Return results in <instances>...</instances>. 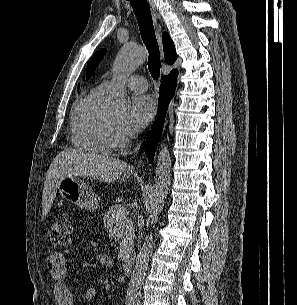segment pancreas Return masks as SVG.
Segmentation results:
<instances>
[{
    "label": "pancreas",
    "instance_id": "cf45deb5",
    "mask_svg": "<svg viewBox=\"0 0 297 305\" xmlns=\"http://www.w3.org/2000/svg\"><path fill=\"white\" fill-rule=\"evenodd\" d=\"M104 226L112 238H119L120 249L118 256L125 259L133 248L134 224L128 213L121 205H115L105 213Z\"/></svg>",
    "mask_w": 297,
    "mask_h": 305
}]
</instances>
